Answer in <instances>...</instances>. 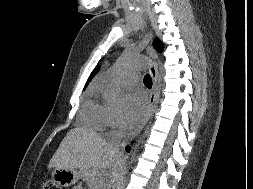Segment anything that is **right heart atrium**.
Returning a JSON list of instances; mask_svg holds the SVG:
<instances>
[{
	"label": "right heart atrium",
	"instance_id": "obj_1",
	"mask_svg": "<svg viewBox=\"0 0 253 189\" xmlns=\"http://www.w3.org/2000/svg\"><path fill=\"white\" fill-rule=\"evenodd\" d=\"M106 126L118 128L120 126V116L116 112L108 110Z\"/></svg>",
	"mask_w": 253,
	"mask_h": 189
}]
</instances>
